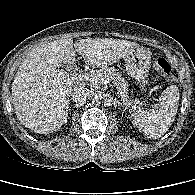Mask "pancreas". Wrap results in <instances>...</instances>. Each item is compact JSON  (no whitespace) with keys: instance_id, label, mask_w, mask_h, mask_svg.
Masks as SVG:
<instances>
[{"instance_id":"cf45deb5","label":"pancreas","mask_w":195,"mask_h":195,"mask_svg":"<svg viewBox=\"0 0 195 195\" xmlns=\"http://www.w3.org/2000/svg\"><path fill=\"white\" fill-rule=\"evenodd\" d=\"M106 77L113 80L123 105L127 108H131L132 111H139L141 109L143 106L142 102L138 100H128L127 81L121 75L120 71L116 70L114 67H102L100 69L93 70L90 73H87L84 78L90 87L99 88Z\"/></svg>"}]
</instances>
